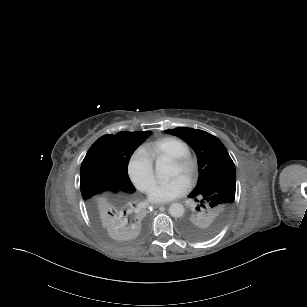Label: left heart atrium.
I'll return each instance as SVG.
<instances>
[{
  "label": "left heart atrium",
  "instance_id": "obj_1",
  "mask_svg": "<svg viewBox=\"0 0 307 307\" xmlns=\"http://www.w3.org/2000/svg\"><path fill=\"white\" fill-rule=\"evenodd\" d=\"M187 188L188 182L179 175L168 181L151 182L146 193L154 203H167L183 195Z\"/></svg>",
  "mask_w": 307,
  "mask_h": 307
}]
</instances>
